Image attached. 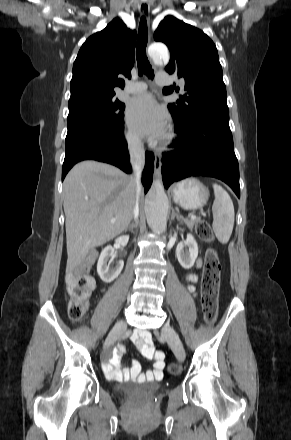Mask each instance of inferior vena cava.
<instances>
[{
	"label": "inferior vena cava",
	"instance_id": "inferior-vena-cava-1",
	"mask_svg": "<svg viewBox=\"0 0 291 440\" xmlns=\"http://www.w3.org/2000/svg\"><path fill=\"white\" fill-rule=\"evenodd\" d=\"M129 153H130V162L133 169V180L136 186V196H137L133 216L134 219H137L139 214L138 199L141 191V173L145 164V154H144L143 144L140 139L133 138L130 140Z\"/></svg>",
	"mask_w": 291,
	"mask_h": 440
}]
</instances>
